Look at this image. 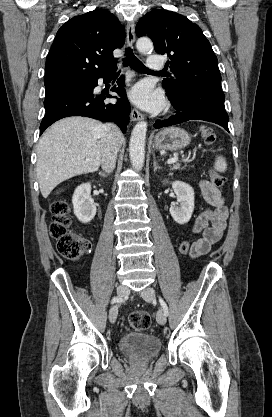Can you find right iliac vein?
I'll return each mask as SVG.
<instances>
[{
    "mask_svg": "<svg viewBox=\"0 0 272 417\" xmlns=\"http://www.w3.org/2000/svg\"><path fill=\"white\" fill-rule=\"evenodd\" d=\"M129 294V288L125 285H120L117 288V296L119 299H122ZM118 315V304H115L111 307L109 311V320L111 323H114L117 319Z\"/></svg>",
    "mask_w": 272,
    "mask_h": 417,
    "instance_id": "63e3f726",
    "label": "right iliac vein"
}]
</instances>
